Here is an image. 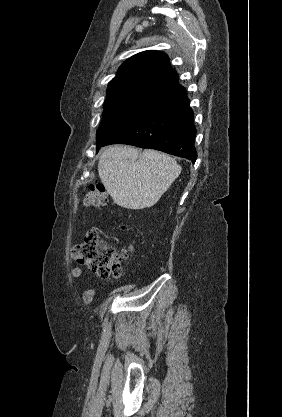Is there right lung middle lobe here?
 Returning <instances> with one entry per match:
<instances>
[{
  "instance_id": "right-lung-middle-lobe-1",
  "label": "right lung middle lobe",
  "mask_w": 282,
  "mask_h": 417,
  "mask_svg": "<svg viewBox=\"0 0 282 417\" xmlns=\"http://www.w3.org/2000/svg\"><path fill=\"white\" fill-rule=\"evenodd\" d=\"M159 94L125 91L107 94L102 121L97 130V148L111 134L125 126L149 104H151Z\"/></svg>"
}]
</instances>
